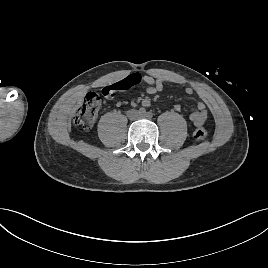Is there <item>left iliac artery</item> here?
I'll return each instance as SVG.
<instances>
[{"mask_svg":"<svg viewBox=\"0 0 268 268\" xmlns=\"http://www.w3.org/2000/svg\"><path fill=\"white\" fill-rule=\"evenodd\" d=\"M147 117H148V118H152V117H153V113H152V112H148V113H147Z\"/></svg>","mask_w":268,"mask_h":268,"instance_id":"1","label":"left iliac artery"}]
</instances>
